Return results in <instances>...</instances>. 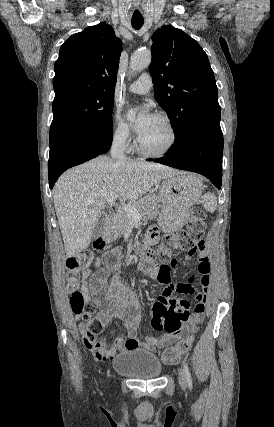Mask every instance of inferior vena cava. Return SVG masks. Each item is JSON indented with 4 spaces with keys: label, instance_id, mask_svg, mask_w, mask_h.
I'll use <instances>...</instances> for the list:
<instances>
[{
    "label": "inferior vena cava",
    "instance_id": "inferior-vena-cava-1",
    "mask_svg": "<svg viewBox=\"0 0 274 427\" xmlns=\"http://www.w3.org/2000/svg\"><path fill=\"white\" fill-rule=\"evenodd\" d=\"M125 150H126L125 138H114L113 144L110 150L111 158H115V160H123V162H125L126 160Z\"/></svg>",
    "mask_w": 274,
    "mask_h": 427
}]
</instances>
